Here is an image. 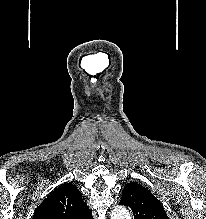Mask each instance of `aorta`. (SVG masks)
I'll return each mask as SVG.
<instances>
[{
	"label": "aorta",
	"mask_w": 206,
	"mask_h": 219,
	"mask_svg": "<svg viewBox=\"0 0 206 219\" xmlns=\"http://www.w3.org/2000/svg\"><path fill=\"white\" fill-rule=\"evenodd\" d=\"M111 219H131V215L125 207L117 206L111 213Z\"/></svg>",
	"instance_id": "obj_1"
}]
</instances>
